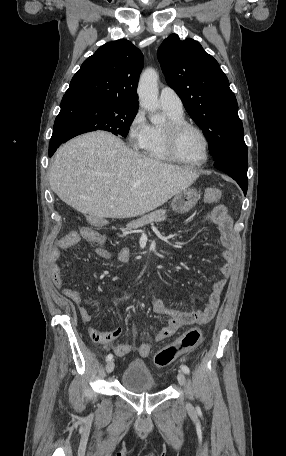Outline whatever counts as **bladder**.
Instances as JSON below:
<instances>
[{"instance_id": "31cf9c89", "label": "bladder", "mask_w": 286, "mask_h": 456, "mask_svg": "<svg viewBox=\"0 0 286 456\" xmlns=\"http://www.w3.org/2000/svg\"><path fill=\"white\" fill-rule=\"evenodd\" d=\"M122 386L133 392H154L156 383L153 375L145 364L132 362L121 376Z\"/></svg>"}]
</instances>
